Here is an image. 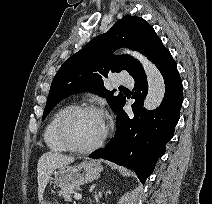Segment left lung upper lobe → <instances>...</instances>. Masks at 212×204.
<instances>
[{
	"mask_svg": "<svg viewBox=\"0 0 212 204\" xmlns=\"http://www.w3.org/2000/svg\"><path fill=\"white\" fill-rule=\"evenodd\" d=\"M120 47L137 50L153 61L165 49L154 29L143 18L125 16L111 29L87 43L72 55L55 75L43 119L56 104L66 96L82 91H91L107 99L116 111L125 100L123 94L114 96V91L104 87L103 78L111 72L127 70L133 77L143 71L141 64L131 56H114Z\"/></svg>",
	"mask_w": 212,
	"mask_h": 204,
	"instance_id": "obj_1",
	"label": "left lung upper lobe"
}]
</instances>
